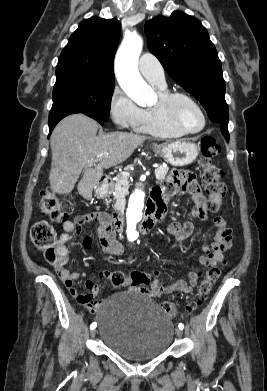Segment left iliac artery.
I'll use <instances>...</instances> for the list:
<instances>
[{
    "mask_svg": "<svg viewBox=\"0 0 267 391\" xmlns=\"http://www.w3.org/2000/svg\"><path fill=\"white\" fill-rule=\"evenodd\" d=\"M178 327H179L180 329H183V328H184V325H183L182 323H179Z\"/></svg>",
    "mask_w": 267,
    "mask_h": 391,
    "instance_id": "44dca946",
    "label": "left iliac artery"
}]
</instances>
